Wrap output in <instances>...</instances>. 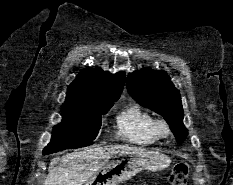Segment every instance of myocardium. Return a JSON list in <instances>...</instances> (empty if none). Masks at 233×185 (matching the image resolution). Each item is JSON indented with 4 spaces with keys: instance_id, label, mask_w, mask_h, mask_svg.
I'll return each instance as SVG.
<instances>
[{
    "instance_id": "myocardium-1",
    "label": "myocardium",
    "mask_w": 233,
    "mask_h": 185,
    "mask_svg": "<svg viewBox=\"0 0 233 185\" xmlns=\"http://www.w3.org/2000/svg\"><path fill=\"white\" fill-rule=\"evenodd\" d=\"M156 132L159 137H166L170 134V127L164 120L156 121Z\"/></svg>"
}]
</instances>
